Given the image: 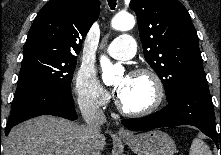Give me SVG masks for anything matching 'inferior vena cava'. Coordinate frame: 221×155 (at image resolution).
Listing matches in <instances>:
<instances>
[{
	"label": "inferior vena cava",
	"mask_w": 221,
	"mask_h": 155,
	"mask_svg": "<svg viewBox=\"0 0 221 155\" xmlns=\"http://www.w3.org/2000/svg\"><path fill=\"white\" fill-rule=\"evenodd\" d=\"M82 117L85 121V141L82 155H99L96 152V137L100 126L106 122L102 109L94 101L84 98L78 102Z\"/></svg>",
	"instance_id": "inferior-vena-cava-1"
}]
</instances>
